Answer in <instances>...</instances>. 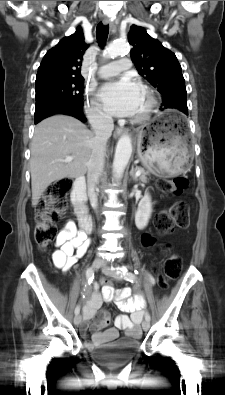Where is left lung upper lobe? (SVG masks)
Segmentation results:
<instances>
[{
  "mask_svg": "<svg viewBox=\"0 0 225 395\" xmlns=\"http://www.w3.org/2000/svg\"><path fill=\"white\" fill-rule=\"evenodd\" d=\"M128 41L139 74L162 95L161 110L175 108L188 115L185 80L175 54L140 26H131Z\"/></svg>",
  "mask_w": 225,
  "mask_h": 395,
  "instance_id": "obj_1",
  "label": "left lung upper lobe"
}]
</instances>
